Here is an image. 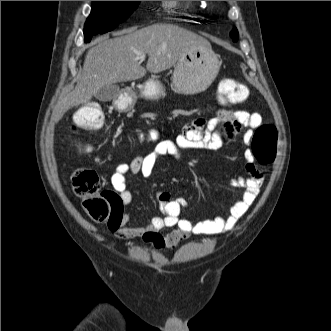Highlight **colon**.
Returning a JSON list of instances; mask_svg holds the SVG:
<instances>
[{
	"instance_id": "colon-1",
	"label": "colon",
	"mask_w": 331,
	"mask_h": 331,
	"mask_svg": "<svg viewBox=\"0 0 331 331\" xmlns=\"http://www.w3.org/2000/svg\"><path fill=\"white\" fill-rule=\"evenodd\" d=\"M218 92L222 104H239L248 96L246 86L232 79H223ZM104 121L102 108L96 103H90L76 113L73 128L75 132H96L102 128ZM277 142L278 130L274 124L265 123L256 128L251 140V150L260 164L267 165L274 160ZM72 185L75 194L82 199L85 211L95 221H110L114 211L122 206L117 193L101 189L99 177L92 169H78L73 174Z\"/></svg>"
}]
</instances>
